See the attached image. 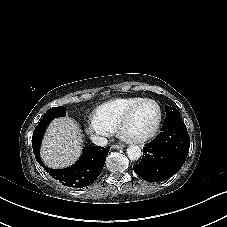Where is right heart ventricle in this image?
Wrapping results in <instances>:
<instances>
[{
    "label": "right heart ventricle",
    "mask_w": 227,
    "mask_h": 227,
    "mask_svg": "<svg viewBox=\"0 0 227 227\" xmlns=\"http://www.w3.org/2000/svg\"><path fill=\"white\" fill-rule=\"evenodd\" d=\"M141 98H116L100 105L92 116L93 124L113 130L124 114Z\"/></svg>",
    "instance_id": "right-heart-ventricle-1"
}]
</instances>
